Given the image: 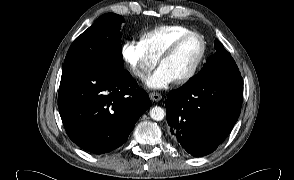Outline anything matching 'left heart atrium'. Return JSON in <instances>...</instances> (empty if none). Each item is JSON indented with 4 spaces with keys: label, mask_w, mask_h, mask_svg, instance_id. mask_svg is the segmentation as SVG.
<instances>
[{
    "label": "left heart atrium",
    "mask_w": 294,
    "mask_h": 180,
    "mask_svg": "<svg viewBox=\"0 0 294 180\" xmlns=\"http://www.w3.org/2000/svg\"><path fill=\"white\" fill-rule=\"evenodd\" d=\"M174 82L172 76L166 71V69L160 66L146 81V84L150 88L161 89L169 86Z\"/></svg>",
    "instance_id": "obj_1"
}]
</instances>
